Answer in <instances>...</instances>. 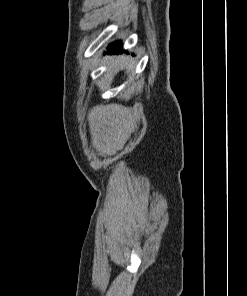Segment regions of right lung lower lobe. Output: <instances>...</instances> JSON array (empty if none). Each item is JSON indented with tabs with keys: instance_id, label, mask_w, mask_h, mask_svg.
Returning a JSON list of instances; mask_svg holds the SVG:
<instances>
[{
	"instance_id": "1",
	"label": "right lung lower lobe",
	"mask_w": 247,
	"mask_h": 296,
	"mask_svg": "<svg viewBox=\"0 0 247 296\" xmlns=\"http://www.w3.org/2000/svg\"><path fill=\"white\" fill-rule=\"evenodd\" d=\"M110 49H111V51H110ZM121 50H122L121 43L116 42V43L110 45V47L108 48V51H109L108 53H116Z\"/></svg>"
}]
</instances>
